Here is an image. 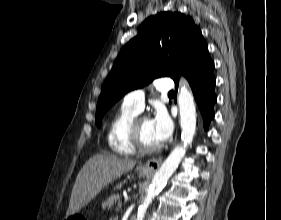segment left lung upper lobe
<instances>
[{
	"label": "left lung upper lobe",
	"instance_id": "left-lung-upper-lobe-1",
	"mask_svg": "<svg viewBox=\"0 0 281 220\" xmlns=\"http://www.w3.org/2000/svg\"><path fill=\"white\" fill-rule=\"evenodd\" d=\"M208 51L200 29L192 18L179 12H161L148 17L139 33L130 40L116 58L99 96L96 124L107 110L127 92L168 76L174 81L184 74L189 63ZM176 59L178 66L165 60Z\"/></svg>",
	"mask_w": 281,
	"mask_h": 220
}]
</instances>
